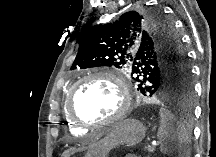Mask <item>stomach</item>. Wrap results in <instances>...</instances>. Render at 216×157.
Masks as SVG:
<instances>
[{
  "instance_id": "1",
  "label": "stomach",
  "mask_w": 216,
  "mask_h": 157,
  "mask_svg": "<svg viewBox=\"0 0 216 157\" xmlns=\"http://www.w3.org/2000/svg\"><path fill=\"white\" fill-rule=\"evenodd\" d=\"M146 128L135 119H126L112 127L102 138L94 141L84 157H108L120 144L134 145L145 137Z\"/></svg>"
}]
</instances>
